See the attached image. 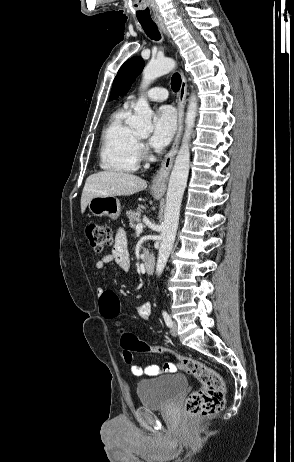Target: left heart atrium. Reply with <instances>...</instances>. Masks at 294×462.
Instances as JSON below:
<instances>
[{
	"label": "left heart atrium",
	"instance_id": "obj_1",
	"mask_svg": "<svg viewBox=\"0 0 294 462\" xmlns=\"http://www.w3.org/2000/svg\"><path fill=\"white\" fill-rule=\"evenodd\" d=\"M176 126L175 110L167 105L160 107L154 119V130L150 138L151 145L155 148L167 146L176 131Z\"/></svg>",
	"mask_w": 294,
	"mask_h": 462
}]
</instances>
